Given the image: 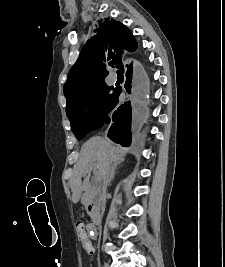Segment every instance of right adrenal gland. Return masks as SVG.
Segmentation results:
<instances>
[{
	"instance_id": "right-adrenal-gland-1",
	"label": "right adrenal gland",
	"mask_w": 225,
	"mask_h": 267,
	"mask_svg": "<svg viewBox=\"0 0 225 267\" xmlns=\"http://www.w3.org/2000/svg\"><path fill=\"white\" fill-rule=\"evenodd\" d=\"M123 161H124V159H121L119 162L114 163V164L111 165V167H110V180H109V185L111 184V181H112V179L115 176V173H116V170H117L118 165H120Z\"/></svg>"
}]
</instances>
